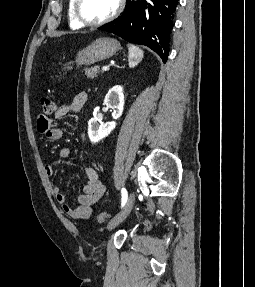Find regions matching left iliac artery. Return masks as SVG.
<instances>
[{"label":"left iliac artery","mask_w":255,"mask_h":287,"mask_svg":"<svg viewBox=\"0 0 255 287\" xmlns=\"http://www.w3.org/2000/svg\"><path fill=\"white\" fill-rule=\"evenodd\" d=\"M122 207L125 205L127 201V190L125 188H122Z\"/></svg>","instance_id":"obj_1"}]
</instances>
